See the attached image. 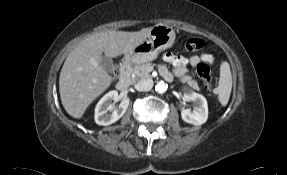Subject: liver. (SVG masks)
<instances>
[{
	"label": "liver",
	"mask_w": 287,
	"mask_h": 175,
	"mask_svg": "<svg viewBox=\"0 0 287 175\" xmlns=\"http://www.w3.org/2000/svg\"><path fill=\"white\" fill-rule=\"evenodd\" d=\"M151 29L95 33L70 52L59 77L61 102L70 116L81 118L88 106L110 87L113 79L100 65L102 53L107 57L127 54L147 39Z\"/></svg>",
	"instance_id": "1"
}]
</instances>
